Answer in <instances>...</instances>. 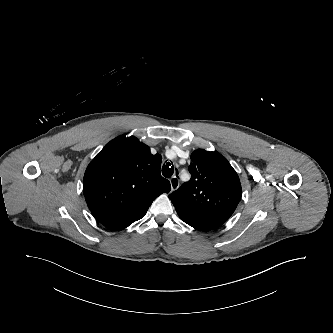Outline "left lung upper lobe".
Wrapping results in <instances>:
<instances>
[{"instance_id": "5c2ea615", "label": "left lung upper lobe", "mask_w": 333, "mask_h": 333, "mask_svg": "<svg viewBox=\"0 0 333 333\" xmlns=\"http://www.w3.org/2000/svg\"><path fill=\"white\" fill-rule=\"evenodd\" d=\"M191 179L169 195L173 204L205 207H237L242 189L239 177L225 157L217 152L195 150L189 166Z\"/></svg>"}]
</instances>
